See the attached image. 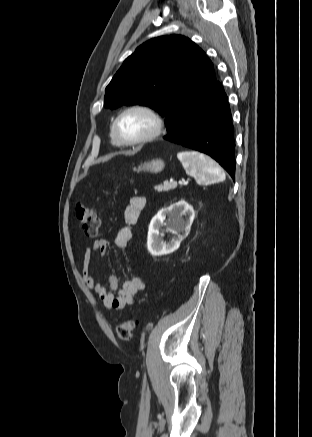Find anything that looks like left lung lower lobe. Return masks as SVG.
Listing matches in <instances>:
<instances>
[{
    "mask_svg": "<svg viewBox=\"0 0 312 437\" xmlns=\"http://www.w3.org/2000/svg\"><path fill=\"white\" fill-rule=\"evenodd\" d=\"M164 139L208 154L235 178L232 117L228 98L218 81Z\"/></svg>",
    "mask_w": 312,
    "mask_h": 437,
    "instance_id": "1",
    "label": "left lung lower lobe"
}]
</instances>
